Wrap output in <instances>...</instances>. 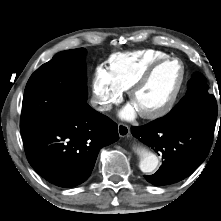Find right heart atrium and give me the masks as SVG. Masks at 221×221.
<instances>
[{
    "instance_id": "d8ad5b80",
    "label": "right heart atrium",
    "mask_w": 221,
    "mask_h": 221,
    "mask_svg": "<svg viewBox=\"0 0 221 221\" xmlns=\"http://www.w3.org/2000/svg\"><path fill=\"white\" fill-rule=\"evenodd\" d=\"M92 91L95 104L100 111H108L118 103L123 95L110 73L103 66H97L92 78Z\"/></svg>"
}]
</instances>
